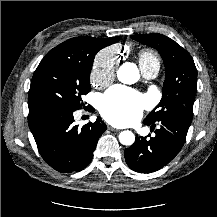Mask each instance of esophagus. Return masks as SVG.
I'll use <instances>...</instances> for the list:
<instances>
[{
	"mask_svg": "<svg viewBox=\"0 0 217 217\" xmlns=\"http://www.w3.org/2000/svg\"><path fill=\"white\" fill-rule=\"evenodd\" d=\"M108 129L111 130V131H119L118 129H116V128L113 127V126H108Z\"/></svg>",
	"mask_w": 217,
	"mask_h": 217,
	"instance_id": "34e87169",
	"label": "esophagus"
}]
</instances>
